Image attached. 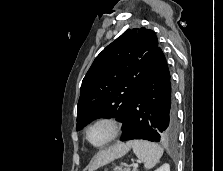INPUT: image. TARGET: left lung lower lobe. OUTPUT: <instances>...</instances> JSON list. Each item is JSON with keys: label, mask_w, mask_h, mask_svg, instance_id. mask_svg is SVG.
<instances>
[{"label": "left lung lower lobe", "mask_w": 223, "mask_h": 171, "mask_svg": "<svg viewBox=\"0 0 223 171\" xmlns=\"http://www.w3.org/2000/svg\"><path fill=\"white\" fill-rule=\"evenodd\" d=\"M177 133L170 73L165 56L158 47L123 121L121 141L144 139L152 142H174Z\"/></svg>", "instance_id": "obj_1"}]
</instances>
